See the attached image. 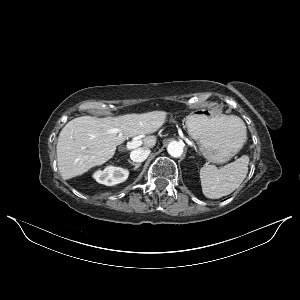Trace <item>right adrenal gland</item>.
Listing matches in <instances>:
<instances>
[{
    "mask_svg": "<svg viewBox=\"0 0 300 300\" xmlns=\"http://www.w3.org/2000/svg\"><path fill=\"white\" fill-rule=\"evenodd\" d=\"M128 162L134 166V170H137L142 165L141 163H134L131 160H128Z\"/></svg>",
    "mask_w": 300,
    "mask_h": 300,
    "instance_id": "2a0ac1e0",
    "label": "right adrenal gland"
}]
</instances>
